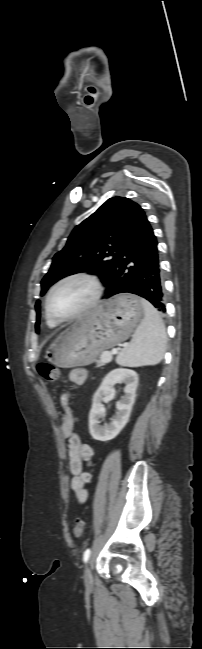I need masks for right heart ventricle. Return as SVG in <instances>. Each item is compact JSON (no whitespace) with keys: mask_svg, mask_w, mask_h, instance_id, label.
<instances>
[{"mask_svg":"<svg viewBox=\"0 0 202 649\" xmlns=\"http://www.w3.org/2000/svg\"><path fill=\"white\" fill-rule=\"evenodd\" d=\"M45 318H46V323H47L48 326H50V327H55V326L57 325V324L54 323V322H53V321H52V320H51L47 315H46Z\"/></svg>","mask_w":202,"mask_h":649,"instance_id":"1","label":"right heart ventricle"}]
</instances>
